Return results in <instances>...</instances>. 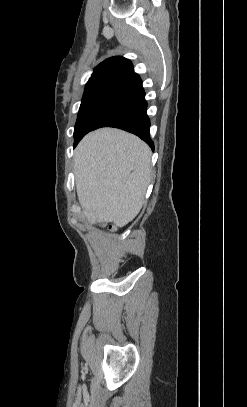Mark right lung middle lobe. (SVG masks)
I'll list each match as a JSON object with an SVG mask.
<instances>
[{
    "label": "right lung middle lobe",
    "instance_id": "1",
    "mask_svg": "<svg viewBox=\"0 0 247 407\" xmlns=\"http://www.w3.org/2000/svg\"><path fill=\"white\" fill-rule=\"evenodd\" d=\"M138 94L129 89H110L83 98L74 130V146L106 115Z\"/></svg>",
    "mask_w": 247,
    "mask_h": 407
}]
</instances>
